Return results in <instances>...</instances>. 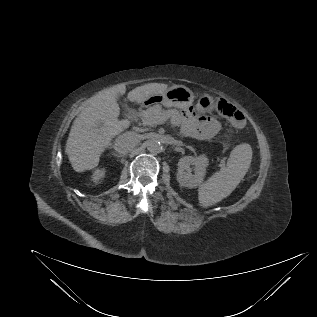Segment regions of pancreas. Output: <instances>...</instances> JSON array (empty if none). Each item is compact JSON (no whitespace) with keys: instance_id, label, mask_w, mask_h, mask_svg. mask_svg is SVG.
<instances>
[{"instance_id":"obj_1","label":"pancreas","mask_w":317,"mask_h":317,"mask_svg":"<svg viewBox=\"0 0 317 317\" xmlns=\"http://www.w3.org/2000/svg\"><path fill=\"white\" fill-rule=\"evenodd\" d=\"M163 110L160 105H154L149 107L147 110L139 112V117L141 118L144 125L153 126L150 121H152L157 115L162 114Z\"/></svg>"}]
</instances>
